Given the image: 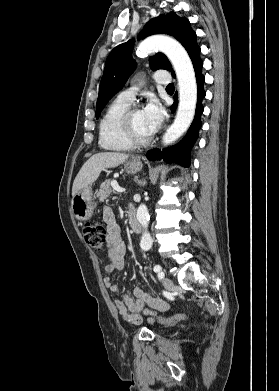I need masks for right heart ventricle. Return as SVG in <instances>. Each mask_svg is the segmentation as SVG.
<instances>
[{
  "instance_id": "e07e8e85",
  "label": "right heart ventricle",
  "mask_w": 279,
  "mask_h": 391,
  "mask_svg": "<svg viewBox=\"0 0 279 391\" xmlns=\"http://www.w3.org/2000/svg\"><path fill=\"white\" fill-rule=\"evenodd\" d=\"M131 101L118 96L105 110L99 123V145L109 151H127L133 146L125 138L121 117Z\"/></svg>"
}]
</instances>
